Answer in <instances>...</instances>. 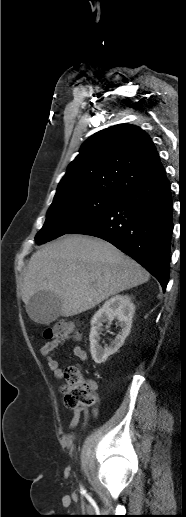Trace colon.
<instances>
[{"instance_id":"1","label":"colon","mask_w":186,"mask_h":517,"mask_svg":"<svg viewBox=\"0 0 186 517\" xmlns=\"http://www.w3.org/2000/svg\"><path fill=\"white\" fill-rule=\"evenodd\" d=\"M45 339L77 338L79 333L74 323L59 321L46 328L43 332ZM65 383L62 387L64 401L67 407L77 408L90 406L95 401V383L85 379L77 366H69L64 372Z\"/></svg>"}]
</instances>
